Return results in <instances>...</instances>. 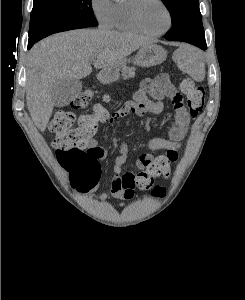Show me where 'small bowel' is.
I'll list each match as a JSON object with an SVG mask.
<instances>
[{
  "label": "small bowel",
  "instance_id": "obj_1",
  "mask_svg": "<svg viewBox=\"0 0 245 300\" xmlns=\"http://www.w3.org/2000/svg\"><path fill=\"white\" fill-rule=\"evenodd\" d=\"M170 99L174 106V120L165 137H153L148 142L150 153L142 154L136 162L138 173L124 171L129 149L126 143L120 145V154L115 159L113 173L110 179V189L108 192L93 196L98 201H104L111 197L126 198L133 197L136 185L135 179L139 173H147L152 177L160 175L167 176L173 172L174 167L170 165L177 159L178 150L185 138L189 124L190 115L183 102L182 94L171 82L167 74H160L155 78H146L140 88L135 92L134 99L126 102L121 108L111 113L108 120L113 124L121 119L130 122V115L137 116L158 115L163 110V102ZM90 148L99 152L98 160L106 157V150L92 139ZM164 151L163 154L153 153ZM157 190L162 188L160 183L155 185Z\"/></svg>",
  "mask_w": 245,
  "mask_h": 300
}]
</instances>
